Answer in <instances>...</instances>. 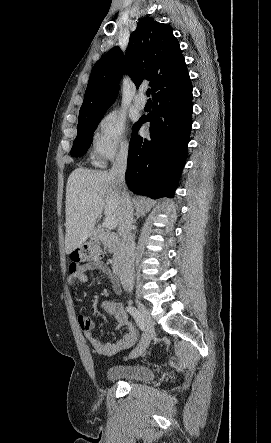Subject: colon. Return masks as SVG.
<instances>
[{
	"instance_id": "1",
	"label": "colon",
	"mask_w": 271,
	"mask_h": 443,
	"mask_svg": "<svg viewBox=\"0 0 271 443\" xmlns=\"http://www.w3.org/2000/svg\"><path fill=\"white\" fill-rule=\"evenodd\" d=\"M102 254L100 247L91 242H87L71 252L73 264L88 263L96 260Z\"/></svg>"
}]
</instances>
